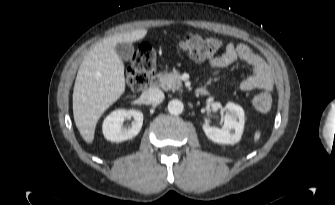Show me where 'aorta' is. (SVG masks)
Masks as SVG:
<instances>
[{
	"instance_id": "obj_1",
	"label": "aorta",
	"mask_w": 335,
	"mask_h": 205,
	"mask_svg": "<svg viewBox=\"0 0 335 205\" xmlns=\"http://www.w3.org/2000/svg\"><path fill=\"white\" fill-rule=\"evenodd\" d=\"M184 105L182 101L178 99H173L168 103V111L170 114L179 115L183 112Z\"/></svg>"
}]
</instances>
